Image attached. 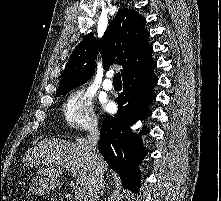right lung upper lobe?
Masks as SVG:
<instances>
[{
    "label": "right lung upper lobe",
    "instance_id": "obj_1",
    "mask_svg": "<svg viewBox=\"0 0 221 201\" xmlns=\"http://www.w3.org/2000/svg\"><path fill=\"white\" fill-rule=\"evenodd\" d=\"M149 37L145 18L134 10L121 9L102 39L89 33L77 45L63 71L56 94L70 91L93 76L98 50L106 70L113 63L122 65L123 79L147 69L154 63Z\"/></svg>",
    "mask_w": 221,
    "mask_h": 201
}]
</instances>
